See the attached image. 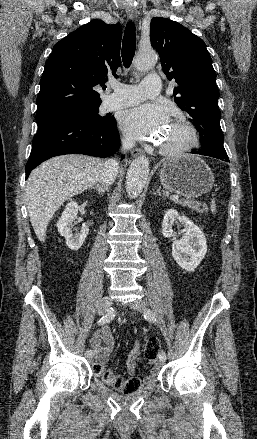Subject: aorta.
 <instances>
[{
    "label": "aorta",
    "instance_id": "obj_1",
    "mask_svg": "<svg viewBox=\"0 0 257 439\" xmlns=\"http://www.w3.org/2000/svg\"><path fill=\"white\" fill-rule=\"evenodd\" d=\"M157 62V54L153 50L140 51L135 60L138 70L146 71ZM150 169L148 158L140 156L130 165L126 176V191L130 198H136L142 192Z\"/></svg>",
    "mask_w": 257,
    "mask_h": 439
}]
</instances>
